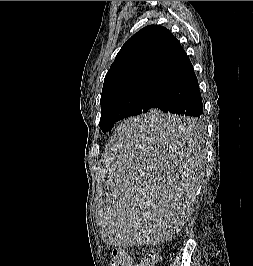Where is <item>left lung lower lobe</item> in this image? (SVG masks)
I'll return each mask as SVG.
<instances>
[{"instance_id": "obj_1", "label": "left lung lower lobe", "mask_w": 253, "mask_h": 266, "mask_svg": "<svg viewBox=\"0 0 253 266\" xmlns=\"http://www.w3.org/2000/svg\"><path fill=\"white\" fill-rule=\"evenodd\" d=\"M152 109L193 118L203 114L197 77L186 52L175 37L162 55L145 94L142 113ZM145 129L170 139L199 134V124L192 118L147 123Z\"/></svg>"}]
</instances>
